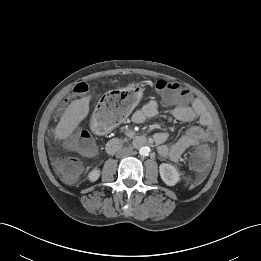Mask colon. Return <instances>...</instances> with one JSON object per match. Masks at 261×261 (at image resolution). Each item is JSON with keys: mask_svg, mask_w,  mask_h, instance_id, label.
<instances>
[{"mask_svg": "<svg viewBox=\"0 0 261 261\" xmlns=\"http://www.w3.org/2000/svg\"><path fill=\"white\" fill-rule=\"evenodd\" d=\"M154 89L161 95L164 102L169 104L185 105L189 102V91L182 85L166 80H158ZM88 91L86 83H79L73 88L75 94H83ZM131 107L130 99L124 92H112L108 94L101 106V124L105 127L120 122ZM65 146L71 151L79 152L85 156H92L96 152L95 141L85 128L78 129L74 135L67 138ZM190 168L200 174L209 166V153L205 148L195 150L190 156ZM55 168L61 178L69 184L75 183L82 172V164L73 156H61L55 160Z\"/></svg>", "mask_w": 261, "mask_h": 261, "instance_id": "colon-1", "label": "colon"}]
</instances>
